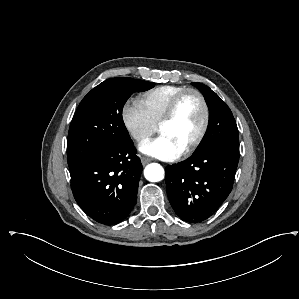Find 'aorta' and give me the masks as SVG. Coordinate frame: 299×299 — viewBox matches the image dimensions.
<instances>
[{
  "label": "aorta",
  "mask_w": 299,
  "mask_h": 299,
  "mask_svg": "<svg viewBox=\"0 0 299 299\" xmlns=\"http://www.w3.org/2000/svg\"><path fill=\"white\" fill-rule=\"evenodd\" d=\"M144 176L150 182H159L164 178V169L160 164L151 163L145 167Z\"/></svg>",
  "instance_id": "762f6f07"
}]
</instances>
